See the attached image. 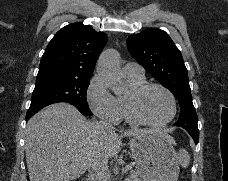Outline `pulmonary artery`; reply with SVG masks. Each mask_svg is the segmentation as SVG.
Wrapping results in <instances>:
<instances>
[{
    "instance_id": "obj_1",
    "label": "pulmonary artery",
    "mask_w": 228,
    "mask_h": 181,
    "mask_svg": "<svg viewBox=\"0 0 228 181\" xmlns=\"http://www.w3.org/2000/svg\"><path fill=\"white\" fill-rule=\"evenodd\" d=\"M124 70L126 71L127 75L130 76H141L142 70L141 65H138V62H129V65H124Z\"/></svg>"
}]
</instances>
